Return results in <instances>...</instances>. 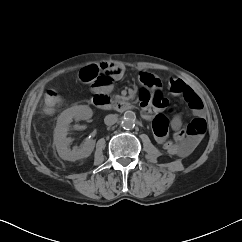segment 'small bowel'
Masks as SVG:
<instances>
[{
	"mask_svg": "<svg viewBox=\"0 0 242 242\" xmlns=\"http://www.w3.org/2000/svg\"><path fill=\"white\" fill-rule=\"evenodd\" d=\"M103 69L109 71L112 76H113V81L119 80L123 74H124V68L120 65L114 64V63H105L103 65ZM145 74H150V73H142L140 75V80L141 77ZM108 83L104 86H94L95 91H109L111 88V83ZM180 83L182 86V89L184 88H189V86L182 80L172 77L170 79V88L175 83ZM172 90V89H171ZM173 92V91H172ZM174 93V92H173ZM176 95H180V93H175ZM200 99V98H199ZM140 101H141V106H142V115L146 120L152 121L154 123L158 117L162 116L164 117L166 123H167V130L164 134L162 135H156L157 140L160 144L166 145L168 147H171L173 153L185 157L188 156L200 143L201 139L203 138V135L200 134H189L188 133V128H194V123L196 121H200L206 128V120L203 115V104L200 99V103L195 106L191 107L192 109V114H193V120L191 123L187 126H183L182 122V117L179 113L174 112L172 118L169 120L164 114L157 113L154 105L155 103L153 102V99L151 98L149 101H146L143 99L142 94H140ZM167 105L165 104L164 100H161L158 102V107L160 108H165ZM171 126L172 131H173V139H174V144H171L168 140V126ZM194 126V127H193Z\"/></svg>",
	"mask_w": 242,
	"mask_h": 242,
	"instance_id": "c3829d8e",
	"label": "small bowel"
}]
</instances>
